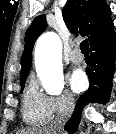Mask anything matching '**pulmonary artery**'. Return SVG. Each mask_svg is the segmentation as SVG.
<instances>
[{
	"instance_id": "1",
	"label": "pulmonary artery",
	"mask_w": 116,
	"mask_h": 134,
	"mask_svg": "<svg viewBox=\"0 0 116 134\" xmlns=\"http://www.w3.org/2000/svg\"><path fill=\"white\" fill-rule=\"evenodd\" d=\"M69 59L71 62L75 64H79L83 61V56L74 50L72 53L69 54Z\"/></svg>"
}]
</instances>
